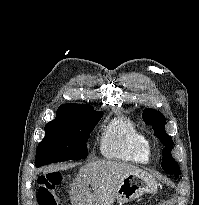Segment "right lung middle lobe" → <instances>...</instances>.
<instances>
[{"mask_svg":"<svg viewBox=\"0 0 199 205\" xmlns=\"http://www.w3.org/2000/svg\"><path fill=\"white\" fill-rule=\"evenodd\" d=\"M102 115L90 105L58 108L56 118L45 125V137L37 147L35 165L86 158V141Z\"/></svg>","mask_w":199,"mask_h":205,"instance_id":"1","label":"right lung middle lobe"}]
</instances>
